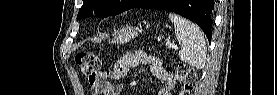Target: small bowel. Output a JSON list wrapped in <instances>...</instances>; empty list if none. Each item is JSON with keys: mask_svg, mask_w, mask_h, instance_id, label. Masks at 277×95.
Here are the masks:
<instances>
[{"mask_svg": "<svg viewBox=\"0 0 277 95\" xmlns=\"http://www.w3.org/2000/svg\"><path fill=\"white\" fill-rule=\"evenodd\" d=\"M146 65L150 68L152 74L160 80L166 82L158 92L159 95H171V89L175 86L173 83L174 75L171 71L165 69L159 59L148 55L144 51H128L114 65L113 69L106 70L89 80L91 92L93 95H120L122 87L111 81L119 80L126 76L129 71L137 65Z\"/></svg>", "mask_w": 277, "mask_h": 95, "instance_id": "obj_1", "label": "small bowel"}]
</instances>
